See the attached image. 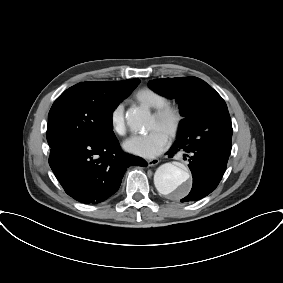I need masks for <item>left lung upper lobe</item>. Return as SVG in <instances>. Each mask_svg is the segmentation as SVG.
Wrapping results in <instances>:
<instances>
[{
    "label": "left lung upper lobe",
    "mask_w": 283,
    "mask_h": 283,
    "mask_svg": "<svg viewBox=\"0 0 283 283\" xmlns=\"http://www.w3.org/2000/svg\"><path fill=\"white\" fill-rule=\"evenodd\" d=\"M149 87L156 93L180 103L177 139L192 133L196 142L215 153L231 152L232 124L223 98L197 77L154 79Z\"/></svg>",
    "instance_id": "1"
}]
</instances>
